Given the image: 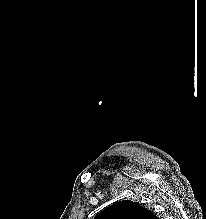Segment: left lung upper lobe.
<instances>
[{"instance_id": "left-lung-upper-lobe-1", "label": "left lung upper lobe", "mask_w": 206, "mask_h": 219, "mask_svg": "<svg viewBox=\"0 0 206 219\" xmlns=\"http://www.w3.org/2000/svg\"><path fill=\"white\" fill-rule=\"evenodd\" d=\"M153 215L138 202L122 200L105 208L94 219H152Z\"/></svg>"}]
</instances>
